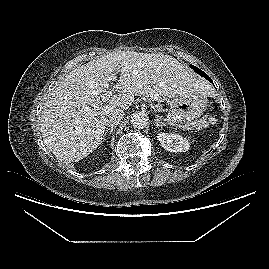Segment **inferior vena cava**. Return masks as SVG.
Wrapping results in <instances>:
<instances>
[{
    "mask_svg": "<svg viewBox=\"0 0 269 269\" xmlns=\"http://www.w3.org/2000/svg\"><path fill=\"white\" fill-rule=\"evenodd\" d=\"M124 117V111L122 109H114L110 111L106 118L105 123L109 127H116L118 124H120L121 120Z\"/></svg>",
    "mask_w": 269,
    "mask_h": 269,
    "instance_id": "1",
    "label": "inferior vena cava"
}]
</instances>
